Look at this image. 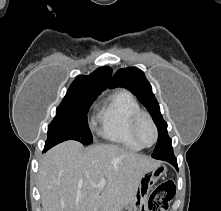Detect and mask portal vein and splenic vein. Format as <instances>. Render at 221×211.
<instances>
[{
  "label": "portal vein and splenic vein",
  "mask_w": 221,
  "mask_h": 211,
  "mask_svg": "<svg viewBox=\"0 0 221 211\" xmlns=\"http://www.w3.org/2000/svg\"><path fill=\"white\" fill-rule=\"evenodd\" d=\"M105 184H106V181H105L104 178H102V179L99 181L98 188H99V189H103L104 186H105Z\"/></svg>",
  "instance_id": "1"
}]
</instances>
